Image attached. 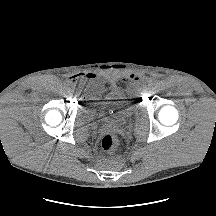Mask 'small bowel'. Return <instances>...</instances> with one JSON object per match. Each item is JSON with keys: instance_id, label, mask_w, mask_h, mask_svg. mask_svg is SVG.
Instances as JSON below:
<instances>
[{"instance_id": "1", "label": "small bowel", "mask_w": 216, "mask_h": 216, "mask_svg": "<svg viewBox=\"0 0 216 216\" xmlns=\"http://www.w3.org/2000/svg\"><path fill=\"white\" fill-rule=\"evenodd\" d=\"M79 75H75L72 77V81H77V79L79 78L78 77ZM85 77L86 79L89 80V82L92 83V88L95 90V89H100V88H103L102 86L98 85L97 83L94 82V79H95V75L92 74V73H87L85 74ZM128 79L131 80V81H137L140 79V77L136 74H131L128 76Z\"/></svg>"}]
</instances>
